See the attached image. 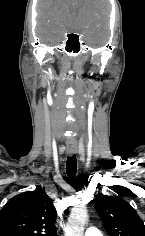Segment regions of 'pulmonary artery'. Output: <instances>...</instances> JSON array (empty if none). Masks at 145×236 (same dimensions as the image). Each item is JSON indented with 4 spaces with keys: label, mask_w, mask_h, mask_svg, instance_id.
<instances>
[{
    "label": "pulmonary artery",
    "mask_w": 145,
    "mask_h": 236,
    "mask_svg": "<svg viewBox=\"0 0 145 236\" xmlns=\"http://www.w3.org/2000/svg\"><path fill=\"white\" fill-rule=\"evenodd\" d=\"M84 236H102V233L96 227H88Z\"/></svg>",
    "instance_id": "e3ab8cb5"
}]
</instances>
